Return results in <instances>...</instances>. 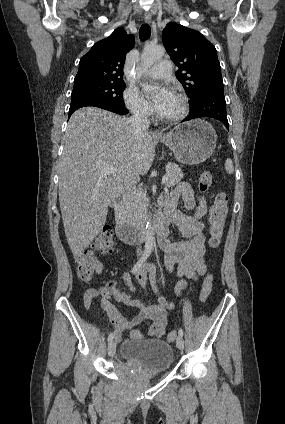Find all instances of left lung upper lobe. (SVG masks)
<instances>
[{"label":"left lung upper lobe","instance_id":"obj_1","mask_svg":"<svg viewBox=\"0 0 285 424\" xmlns=\"http://www.w3.org/2000/svg\"><path fill=\"white\" fill-rule=\"evenodd\" d=\"M162 39L167 53L179 67L176 77L190 97V104L207 91L223 90L217 51L201 33L171 22L164 28Z\"/></svg>","mask_w":285,"mask_h":424}]
</instances>
